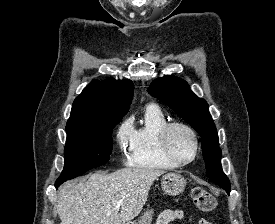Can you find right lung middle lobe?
<instances>
[{"instance_id":"1","label":"right lung middle lobe","mask_w":275,"mask_h":224,"mask_svg":"<svg viewBox=\"0 0 275 224\" xmlns=\"http://www.w3.org/2000/svg\"><path fill=\"white\" fill-rule=\"evenodd\" d=\"M120 120L66 126L65 164L56 183L62 184L106 163L112 151V129Z\"/></svg>"}]
</instances>
